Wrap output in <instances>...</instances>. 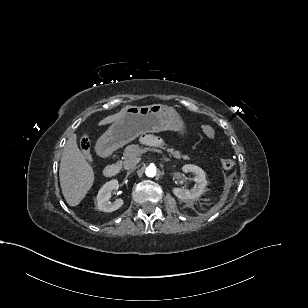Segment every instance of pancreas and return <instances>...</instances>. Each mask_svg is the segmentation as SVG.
Here are the masks:
<instances>
[{"label":"pancreas","instance_id":"1","mask_svg":"<svg viewBox=\"0 0 308 308\" xmlns=\"http://www.w3.org/2000/svg\"><path fill=\"white\" fill-rule=\"evenodd\" d=\"M166 151L170 156L175 158L189 159L187 155H182L180 151H175L173 148H168ZM143 152L144 150L141 149L137 144L128 145L123 152V160L119 161L118 164L123 165L124 169L126 170L133 169L140 161V156Z\"/></svg>","mask_w":308,"mask_h":308}]
</instances>
